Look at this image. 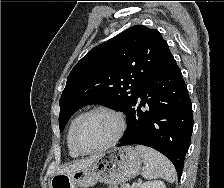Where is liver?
<instances>
[{"label": "liver", "instance_id": "6515ba94", "mask_svg": "<svg viewBox=\"0 0 224 188\" xmlns=\"http://www.w3.org/2000/svg\"><path fill=\"white\" fill-rule=\"evenodd\" d=\"M100 156H101V154L100 155H93V156L88 157L86 159H81V160L75 161V162H73L69 165L63 166L58 171V174L69 173V172H73V171H76V170L83 169V168L93 164Z\"/></svg>", "mask_w": 224, "mask_h": 188}]
</instances>
